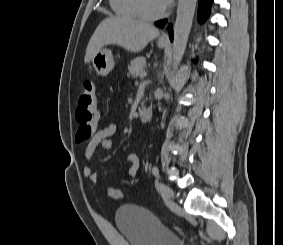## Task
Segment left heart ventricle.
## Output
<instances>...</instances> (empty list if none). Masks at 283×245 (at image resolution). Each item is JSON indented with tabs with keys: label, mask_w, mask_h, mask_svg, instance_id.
<instances>
[{
	"label": "left heart ventricle",
	"mask_w": 283,
	"mask_h": 245,
	"mask_svg": "<svg viewBox=\"0 0 283 245\" xmlns=\"http://www.w3.org/2000/svg\"><path fill=\"white\" fill-rule=\"evenodd\" d=\"M143 6L149 13H158L165 7L161 0H143Z\"/></svg>",
	"instance_id": "1"
}]
</instances>
